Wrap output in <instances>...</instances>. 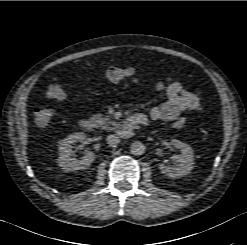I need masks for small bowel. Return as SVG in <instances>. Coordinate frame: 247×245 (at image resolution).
I'll return each instance as SVG.
<instances>
[{
  "instance_id": "c3829d8e",
  "label": "small bowel",
  "mask_w": 247,
  "mask_h": 245,
  "mask_svg": "<svg viewBox=\"0 0 247 245\" xmlns=\"http://www.w3.org/2000/svg\"><path fill=\"white\" fill-rule=\"evenodd\" d=\"M126 83L142 84L140 78H132ZM157 91L165 92L167 100L153 107L149 114L138 113L143 119V125L151 121H176L184 111L201 112L203 106L198 96L188 91L174 76L167 77V82H158Z\"/></svg>"
}]
</instances>
